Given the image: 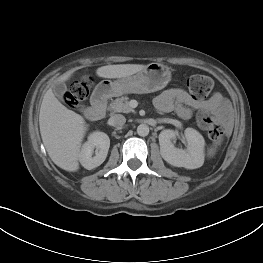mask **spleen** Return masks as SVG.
Returning a JSON list of instances; mask_svg holds the SVG:
<instances>
[{
    "label": "spleen",
    "instance_id": "obj_1",
    "mask_svg": "<svg viewBox=\"0 0 263 263\" xmlns=\"http://www.w3.org/2000/svg\"><path fill=\"white\" fill-rule=\"evenodd\" d=\"M212 153H213V150L210 151V154H212Z\"/></svg>",
    "mask_w": 263,
    "mask_h": 263
}]
</instances>
